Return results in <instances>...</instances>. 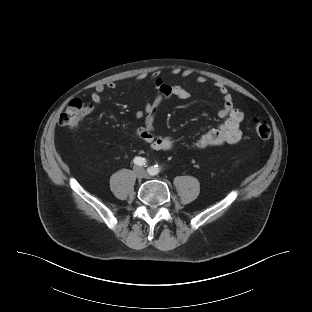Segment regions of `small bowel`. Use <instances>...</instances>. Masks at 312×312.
I'll list each match as a JSON object with an SVG mask.
<instances>
[{"mask_svg": "<svg viewBox=\"0 0 312 312\" xmlns=\"http://www.w3.org/2000/svg\"><path fill=\"white\" fill-rule=\"evenodd\" d=\"M190 74L191 72L189 70L181 72L182 77H188ZM143 78V75L138 77V79ZM205 81L206 78L203 76L197 78L198 83H204ZM154 86L157 91L156 97L152 101L145 100L143 110L136 113L137 117L143 120V125L136 129V135L140 140L149 144L151 149L155 151H168L174 147L175 141L170 137L155 134L154 120L157 109L162 99L174 96L186 100L191 97V93L185 87L168 84L161 78H156L154 80ZM115 88V82H109L106 85H98L91 94L88 109L91 110L102 102V94L106 89L114 90ZM215 88L222 97L223 106L219 110L218 115L220 118L224 119V122L218 127L201 135L194 143V147L197 149L221 144H234L239 142L242 138V131L240 128L243 120L242 112L235 108L233 98L224 84L216 83Z\"/></svg>", "mask_w": 312, "mask_h": 312, "instance_id": "obj_1", "label": "small bowel"}]
</instances>
